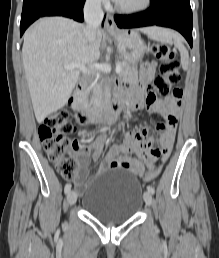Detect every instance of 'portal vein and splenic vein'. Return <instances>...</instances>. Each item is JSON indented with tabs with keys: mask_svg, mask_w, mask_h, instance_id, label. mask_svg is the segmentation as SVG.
Masks as SVG:
<instances>
[{
	"mask_svg": "<svg viewBox=\"0 0 219 258\" xmlns=\"http://www.w3.org/2000/svg\"><path fill=\"white\" fill-rule=\"evenodd\" d=\"M79 68L84 74L89 73V71L87 70V68L84 65H78V64H70V65H65L64 69L66 70H71L74 68ZM116 73H120L122 71V68L120 65H116Z\"/></svg>",
	"mask_w": 219,
	"mask_h": 258,
	"instance_id": "1",
	"label": "portal vein and splenic vein"
}]
</instances>
